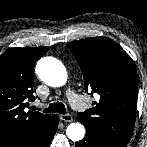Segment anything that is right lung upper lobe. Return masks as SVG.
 Masks as SVG:
<instances>
[{
  "label": "right lung upper lobe",
  "instance_id": "obj_1",
  "mask_svg": "<svg viewBox=\"0 0 147 147\" xmlns=\"http://www.w3.org/2000/svg\"><path fill=\"white\" fill-rule=\"evenodd\" d=\"M49 47L13 48L0 56V147H15L43 131L51 114L27 111L35 62Z\"/></svg>",
  "mask_w": 147,
  "mask_h": 147
}]
</instances>
